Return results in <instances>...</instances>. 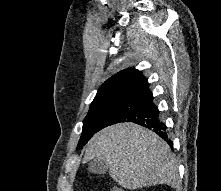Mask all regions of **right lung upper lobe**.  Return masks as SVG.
Returning <instances> with one entry per match:
<instances>
[{
    "mask_svg": "<svg viewBox=\"0 0 221 191\" xmlns=\"http://www.w3.org/2000/svg\"><path fill=\"white\" fill-rule=\"evenodd\" d=\"M146 81L147 79L140 71L133 68L125 69L102 84L91 106L112 100H120L129 91Z\"/></svg>",
    "mask_w": 221,
    "mask_h": 191,
    "instance_id": "cb5924a9",
    "label": "right lung upper lobe"
}]
</instances>
